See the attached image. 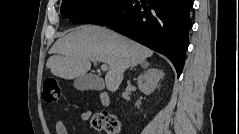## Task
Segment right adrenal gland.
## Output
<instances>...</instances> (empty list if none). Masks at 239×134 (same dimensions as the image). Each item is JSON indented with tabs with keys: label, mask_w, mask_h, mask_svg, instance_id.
<instances>
[{
	"label": "right adrenal gland",
	"mask_w": 239,
	"mask_h": 134,
	"mask_svg": "<svg viewBox=\"0 0 239 134\" xmlns=\"http://www.w3.org/2000/svg\"><path fill=\"white\" fill-rule=\"evenodd\" d=\"M140 65L143 66V67H144V66L147 67L149 64H147V63H145V62H142V63H140ZM133 67H134V66L130 67V70H131Z\"/></svg>",
	"instance_id": "obj_1"
}]
</instances>
